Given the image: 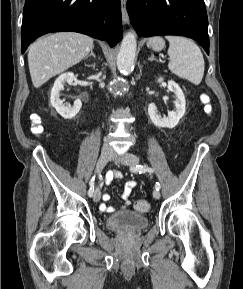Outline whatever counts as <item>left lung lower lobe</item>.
Instances as JSON below:
<instances>
[{"mask_svg":"<svg viewBox=\"0 0 243 289\" xmlns=\"http://www.w3.org/2000/svg\"><path fill=\"white\" fill-rule=\"evenodd\" d=\"M127 11L139 37L187 36L209 54L204 0H128Z\"/></svg>","mask_w":243,"mask_h":289,"instance_id":"0a47b994","label":"left lung lower lobe"}]
</instances>
